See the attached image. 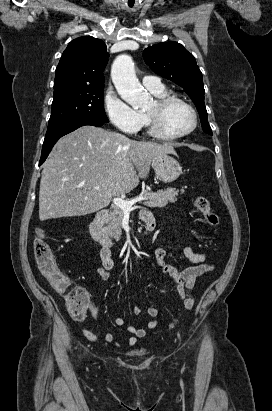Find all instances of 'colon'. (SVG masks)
Masks as SVG:
<instances>
[{"instance_id":"obj_1","label":"colon","mask_w":272,"mask_h":411,"mask_svg":"<svg viewBox=\"0 0 272 411\" xmlns=\"http://www.w3.org/2000/svg\"><path fill=\"white\" fill-rule=\"evenodd\" d=\"M194 205L201 212L205 221L209 225L216 226L218 224V216L212 210L208 198L204 196L196 197ZM33 249L35 263L40 274L64 299L71 317L77 321L83 320L90 304V296L84 289L75 285L68 275L59 269L47 237L42 230H38L37 237L34 240ZM189 307L190 301H187L185 308L188 309Z\"/></svg>"}]
</instances>
